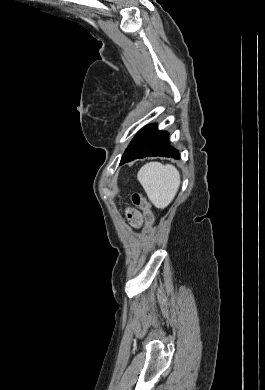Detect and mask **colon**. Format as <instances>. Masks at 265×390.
Masks as SVG:
<instances>
[{
	"label": "colon",
	"instance_id": "1",
	"mask_svg": "<svg viewBox=\"0 0 265 390\" xmlns=\"http://www.w3.org/2000/svg\"><path fill=\"white\" fill-rule=\"evenodd\" d=\"M133 205L140 211L143 212L144 218L147 222L153 221V213L150 208V204L147 201L146 197L141 193H134L132 195Z\"/></svg>",
	"mask_w": 265,
	"mask_h": 390
}]
</instances>
